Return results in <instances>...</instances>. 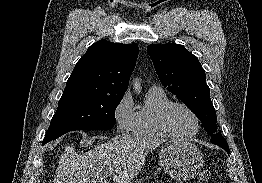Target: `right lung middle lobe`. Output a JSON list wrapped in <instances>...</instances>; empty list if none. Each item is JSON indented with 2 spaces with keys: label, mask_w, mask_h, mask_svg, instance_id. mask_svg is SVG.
<instances>
[{
  "label": "right lung middle lobe",
  "mask_w": 262,
  "mask_h": 183,
  "mask_svg": "<svg viewBox=\"0 0 262 183\" xmlns=\"http://www.w3.org/2000/svg\"><path fill=\"white\" fill-rule=\"evenodd\" d=\"M123 96L89 92L63 93L43 141L74 130H108L115 123V109Z\"/></svg>",
  "instance_id": "obj_1"
}]
</instances>
